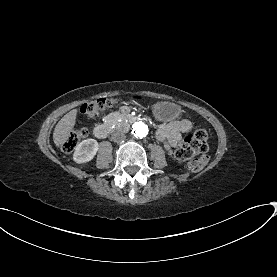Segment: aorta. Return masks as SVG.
Segmentation results:
<instances>
[{"mask_svg": "<svg viewBox=\"0 0 277 277\" xmlns=\"http://www.w3.org/2000/svg\"><path fill=\"white\" fill-rule=\"evenodd\" d=\"M131 130H132V135L140 139L146 137L149 131L147 124H145L142 121L135 122L132 125Z\"/></svg>", "mask_w": 277, "mask_h": 277, "instance_id": "762f6f07", "label": "aorta"}]
</instances>
